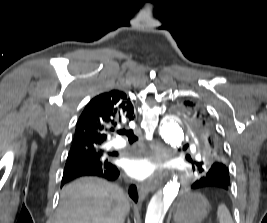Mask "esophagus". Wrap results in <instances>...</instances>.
Masks as SVG:
<instances>
[{"label":"esophagus","instance_id":"1","mask_svg":"<svg viewBox=\"0 0 267 223\" xmlns=\"http://www.w3.org/2000/svg\"><path fill=\"white\" fill-rule=\"evenodd\" d=\"M152 159L155 161V163L160 164L167 162L171 159V153L167 147H165L162 143L156 142L152 146ZM159 178L162 179L164 176L167 175V171L160 170L158 172ZM155 185L149 184L147 186H141L139 190V195L143 199L149 191L154 190Z\"/></svg>","mask_w":267,"mask_h":223}]
</instances>
